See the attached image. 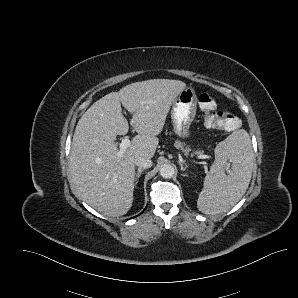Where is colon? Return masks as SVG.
<instances>
[{
	"mask_svg": "<svg viewBox=\"0 0 298 298\" xmlns=\"http://www.w3.org/2000/svg\"><path fill=\"white\" fill-rule=\"evenodd\" d=\"M197 100L204 116L205 125L208 128L233 131L239 127L238 117L228 111H219L210 94L201 93Z\"/></svg>",
	"mask_w": 298,
	"mask_h": 298,
	"instance_id": "colon-1",
	"label": "colon"
}]
</instances>
